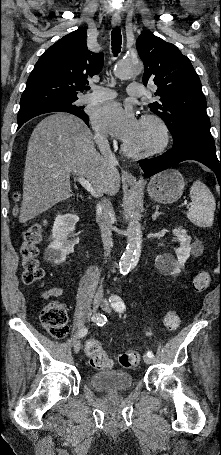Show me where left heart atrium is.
Segmentation results:
<instances>
[{
  "mask_svg": "<svg viewBox=\"0 0 221 455\" xmlns=\"http://www.w3.org/2000/svg\"><path fill=\"white\" fill-rule=\"evenodd\" d=\"M92 122L97 129L105 131L125 142L137 132L139 121L130 107L119 103H107L96 107Z\"/></svg>",
  "mask_w": 221,
  "mask_h": 455,
  "instance_id": "1",
  "label": "left heart atrium"
}]
</instances>
